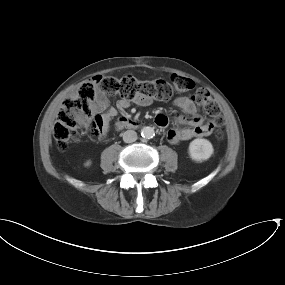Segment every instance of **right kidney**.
I'll use <instances>...</instances> for the list:
<instances>
[{
	"label": "right kidney",
	"mask_w": 285,
	"mask_h": 285,
	"mask_svg": "<svg viewBox=\"0 0 285 285\" xmlns=\"http://www.w3.org/2000/svg\"><path fill=\"white\" fill-rule=\"evenodd\" d=\"M91 165V161H87L86 163H85V166H90Z\"/></svg>",
	"instance_id": "1"
}]
</instances>
